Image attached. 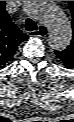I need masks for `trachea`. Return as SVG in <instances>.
Returning a JSON list of instances; mask_svg holds the SVG:
<instances>
[{
    "label": "trachea",
    "instance_id": "3493384b",
    "mask_svg": "<svg viewBox=\"0 0 74 122\" xmlns=\"http://www.w3.org/2000/svg\"><path fill=\"white\" fill-rule=\"evenodd\" d=\"M25 29L27 31H36L38 29L37 24L30 18L25 21Z\"/></svg>",
    "mask_w": 74,
    "mask_h": 122
}]
</instances>
